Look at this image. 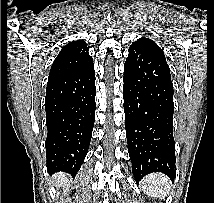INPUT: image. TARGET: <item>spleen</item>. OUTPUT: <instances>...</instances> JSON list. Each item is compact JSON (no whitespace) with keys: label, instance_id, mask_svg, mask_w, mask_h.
I'll return each instance as SVG.
<instances>
[{"label":"spleen","instance_id":"spleen-1","mask_svg":"<svg viewBox=\"0 0 214 203\" xmlns=\"http://www.w3.org/2000/svg\"><path fill=\"white\" fill-rule=\"evenodd\" d=\"M142 189L149 196L164 198L170 191V181L163 174H150L143 179Z\"/></svg>","mask_w":214,"mask_h":203}]
</instances>
